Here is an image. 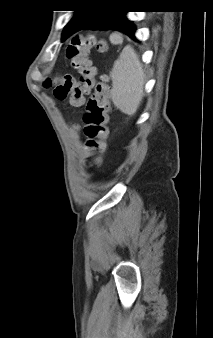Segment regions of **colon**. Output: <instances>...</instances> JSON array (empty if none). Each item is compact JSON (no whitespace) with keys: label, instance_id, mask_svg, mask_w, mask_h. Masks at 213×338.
I'll use <instances>...</instances> for the list:
<instances>
[{"label":"colon","instance_id":"1","mask_svg":"<svg viewBox=\"0 0 213 338\" xmlns=\"http://www.w3.org/2000/svg\"><path fill=\"white\" fill-rule=\"evenodd\" d=\"M94 47L99 52H105L107 43L94 34L73 37L66 49V55L71 67L79 73V81L77 82L74 76L66 74L54 78L46 86L55 87L54 95L59 100L69 96L71 105L75 107L82 104L85 93H90L82 119L83 132L88 147L91 150H100L110 134L111 91L104 79L99 81L96 79L97 69L89 58L90 50ZM95 162L99 164V158H96Z\"/></svg>","mask_w":213,"mask_h":338}]
</instances>
